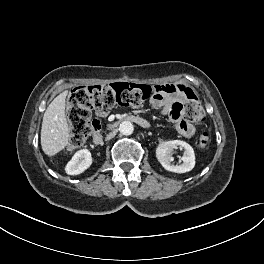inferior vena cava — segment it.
I'll list each match as a JSON object with an SVG mask.
<instances>
[{
	"label": "inferior vena cava",
	"mask_w": 264,
	"mask_h": 264,
	"mask_svg": "<svg viewBox=\"0 0 264 264\" xmlns=\"http://www.w3.org/2000/svg\"><path fill=\"white\" fill-rule=\"evenodd\" d=\"M116 133H117L116 130L110 132L109 134H107V136H106L105 139H106V140H110V139H112L113 137H115Z\"/></svg>",
	"instance_id": "1"
}]
</instances>
